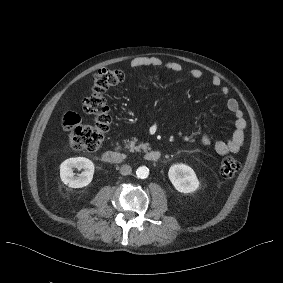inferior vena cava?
Here are the masks:
<instances>
[{
  "mask_svg": "<svg viewBox=\"0 0 283 283\" xmlns=\"http://www.w3.org/2000/svg\"><path fill=\"white\" fill-rule=\"evenodd\" d=\"M119 173L123 176H127L131 173V167L129 165H122L119 169Z\"/></svg>",
  "mask_w": 283,
  "mask_h": 283,
  "instance_id": "obj_1",
  "label": "inferior vena cava"
}]
</instances>
